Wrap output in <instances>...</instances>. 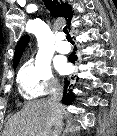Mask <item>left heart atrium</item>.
I'll return each mask as SVG.
<instances>
[{
    "label": "left heart atrium",
    "mask_w": 117,
    "mask_h": 136,
    "mask_svg": "<svg viewBox=\"0 0 117 136\" xmlns=\"http://www.w3.org/2000/svg\"><path fill=\"white\" fill-rule=\"evenodd\" d=\"M58 69L61 71V72H64L66 70V65L61 63L58 65Z\"/></svg>",
    "instance_id": "left-heart-atrium-1"
}]
</instances>
